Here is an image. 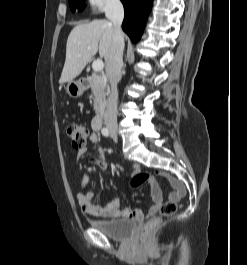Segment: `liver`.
I'll use <instances>...</instances> for the list:
<instances>
[{
  "label": "liver",
  "mask_w": 247,
  "mask_h": 265,
  "mask_svg": "<svg viewBox=\"0 0 247 265\" xmlns=\"http://www.w3.org/2000/svg\"><path fill=\"white\" fill-rule=\"evenodd\" d=\"M112 39L113 25L107 20L75 26L67 39L66 59L59 83L70 82L80 75L98 51L100 57L106 60Z\"/></svg>",
  "instance_id": "liver-1"
}]
</instances>
